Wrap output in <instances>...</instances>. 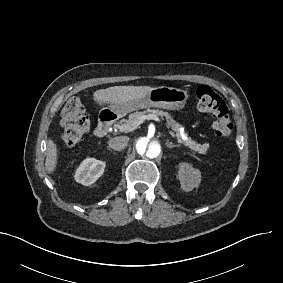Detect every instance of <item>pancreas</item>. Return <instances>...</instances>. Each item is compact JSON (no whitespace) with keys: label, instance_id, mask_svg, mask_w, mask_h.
<instances>
[{"label":"pancreas","instance_id":"obj_1","mask_svg":"<svg viewBox=\"0 0 283 283\" xmlns=\"http://www.w3.org/2000/svg\"><path fill=\"white\" fill-rule=\"evenodd\" d=\"M151 115L154 116H160V117H164L166 119V126L167 128H171L173 131H175L176 133L173 134L174 137H177V140L179 143L184 144L185 146H188L190 149L197 151L199 154H206L208 148H209V144L205 143V144H198L197 142H195L194 140H192L190 137H188L187 140H184L182 138V135L180 134V128L182 127L181 124H179L178 122H176L171 115L168 112H164L162 110H158V109H152L149 110ZM147 112H135L129 115L128 119H122L119 122L120 125V131L122 132H130L132 131V128H134V126L142 120V117L146 114ZM186 134V133H185ZM187 135V134H186Z\"/></svg>","mask_w":283,"mask_h":283}]
</instances>
